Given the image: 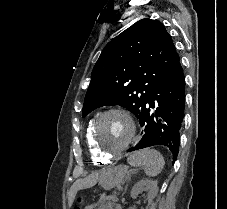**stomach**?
<instances>
[{
    "label": "stomach",
    "instance_id": "obj_1",
    "mask_svg": "<svg viewBox=\"0 0 227 209\" xmlns=\"http://www.w3.org/2000/svg\"><path fill=\"white\" fill-rule=\"evenodd\" d=\"M126 173L127 167L123 165L116 166L102 172L99 176V183L104 189L110 190L123 183Z\"/></svg>",
    "mask_w": 227,
    "mask_h": 209
}]
</instances>
